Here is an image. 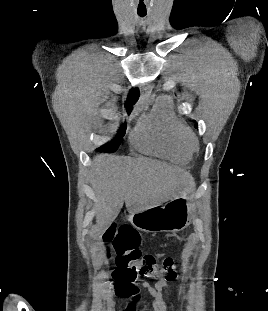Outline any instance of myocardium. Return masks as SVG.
<instances>
[{"instance_id":"obj_1","label":"myocardium","mask_w":268,"mask_h":311,"mask_svg":"<svg viewBox=\"0 0 268 311\" xmlns=\"http://www.w3.org/2000/svg\"><path fill=\"white\" fill-rule=\"evenodd\" d=\"M179 138L182 144L190 151L196 150L198 147V139L194 135L193 131L189 126L184 123L180 124L179 127Z\"/></svg>"}]
</instances>
